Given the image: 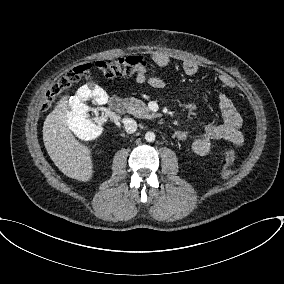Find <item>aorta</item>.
<instances>
[{"label": "aorta", "mask_w": 284, "mask_h": 284, "mask_svg": "<svg viewBox=\"0 0 284 284\" xmlns=\"http://www.w3.org/2000/svg\"><path fill=\"white\" fill-rule=\"evenodd\" d=\"M145 140L147 142H154L155 141V133L152 132V131H148L146 134H145Z\"/></svg>", "instance_id": "1"}]
</instances>
